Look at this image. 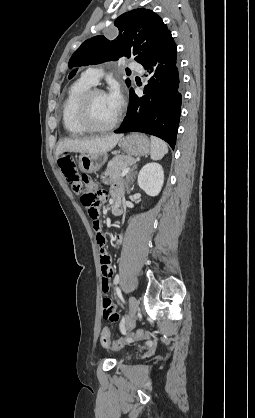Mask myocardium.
I'll use <instances>...</instances> for the list:
<instances>
[{
	"instance_id": "1",
	"label": "myocardium",
	"mask_w": 255,
	"mask_h": 418,
	"mask_svg": "<svg viewBox=\"0 0 255 418\" xmlns=\"http://www.w3.org/2000/svg\"><path fill=\"white\" fill-rule=\"evenodd\" d=\"M97 94H105V91L98 87H92L83 94L77 108V120L87 131L103 133L114 129L117 126L120 121V113L117 112L114 120L108 125H96L91 117V101Z\"/></svg>"
}]
</instances>
